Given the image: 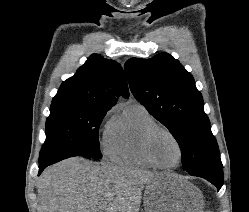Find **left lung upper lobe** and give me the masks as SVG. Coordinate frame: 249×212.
Here are the masks:
<instances>
[{"label":"left lung upper lobe","mask_w":249,"mask_h":212,"mask_svg":"<svg viewBox=\"0 0 249 212\" xmlns=\"http://www.w3.org/2000/svg\"><path fill=\"white\" fill-rule=\"evenodd\" d=\"M124 67L134 97L178 142L183 169L192 174L222 167L202 95L179 61L160 53L150 59L131 58Z\"/></svg>","instance_id":"left-lung-upper-lobe-1"}]
</instances>
